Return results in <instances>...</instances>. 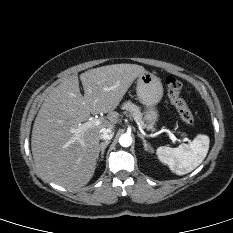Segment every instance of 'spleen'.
<instances>
[{
	"mask_svg": "<svg viewBox=\"0 0 233 233\" xmlns=\"http://www.w3.org/2000/svg\"><path fill=\"white\" fill-rule=\"evenodd\" d=\"M210 139L207 135L198 134L190 144H182L177 148L158 147V159L169 166L176 175H184L193 171L205 159L209 150Z\"/></svg>",
	"mask_w": 233,
	"mask_h": 233,
	"instance_id": "1",
	"label": "spleen"
}]
</instances>
